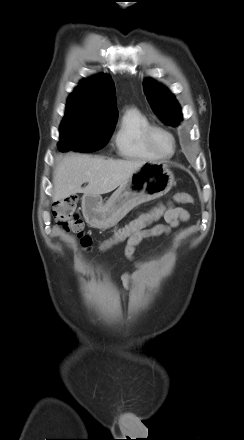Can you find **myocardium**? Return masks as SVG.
<instances>
[{
	"mask_svg": "<svg viewBox=\"0 0 244 440\" xmlns=\"http://www.w3.org/2000/svg\"><path fill=\"white\" fill-rule=\"evenodd\" d=\"M157 131L162 132L170 137V139L172 141L173 148L169 154H162L153 146L152 136H153L154 132H157ZM143 142L146 145V147L158 157L170 156L175 152V149H176V139H175L174 135L170 131H168L167 129H165L161 126L150 125L149 127H147L143 132Z\"/></svg>",
	"mask_w": 244,
	"mask_h": 440,
	"instance_id": "myocardium-1",
	"label": "myocardium"
}]
</instances>
